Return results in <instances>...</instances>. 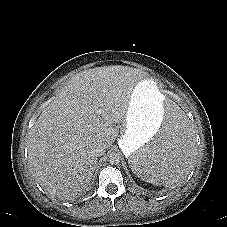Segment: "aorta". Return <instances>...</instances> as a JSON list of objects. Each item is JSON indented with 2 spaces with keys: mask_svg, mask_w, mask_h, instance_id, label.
Wrapping results in <instances>:
<instances>
[{
  "mask_svg": "<svg viewBox=\"0 0 227 227\" xmlns=\"http://www.w3.org/2000/svg\"><path fill=\"white\" fill-rule=\"evenodd\" d=\"M109 162L110 164L112 165H117L120 163V156L119 154L115 153V152H112L110 155H109Z\"/></svg>",
  "mask_w": 227,
  "mask_h": 227,
  "instance_id": "aorta-1",
  "label": "aorta"
}]
</instances>
